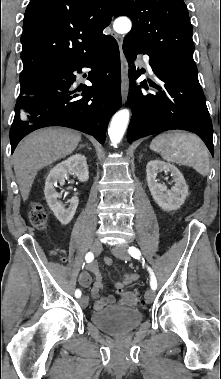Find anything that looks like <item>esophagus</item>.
Masks as SVG:
<instances>
[{
	"label": "esophagus",
	"instance_id": "obj_1",
	"mask_svg": "<svg viewBox=\"0 0 221 379\" xmlns=\"http://www.w3.org/2000/svg\"><path fill=\"white\" fill-rule=\"evenodd\" d=\"M113 37L116 39L119 50H120V58H121V94H122V103L125 104L127 101L128 96V64L127 60L125 58V55L123 53L122 44H123V38L121 35H118L116 33H113Z\"/></svg>",
	"mask_w": 221,
	"mask_h": 379
}]
</instances>
